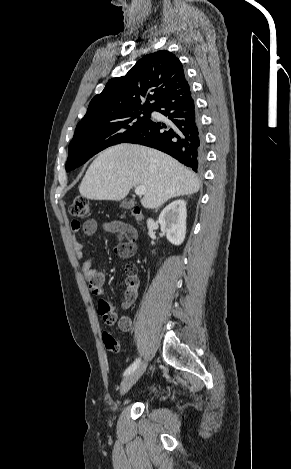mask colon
I'll use <instances>...</instances> for the list:
<instances>
[{
  "label": "colon",
  "instance_id": "5ec220e1",
  "mask_svg": "<svg viewBox=\"0 0 291 469\" xmlns=\"http://www.w3.org/2000/svg\"><path fill=\"white\" fill-rule=\"evenodd\" d=\"M71 214L81 220L87 219L91 214V205L89 200L84 196H77L70 207ZM135 216H140V211L138 208L133 211ZM135 246L132 243H123L117 248V252L121 256H126L133 254ZM125 273L127 276V290L128 295L124 300V306H129L134 300V294L138 291V280H137V267L133 263H128L125 265ZM99 301L97 302L98 311L100 317L106 321L107 324L112 325L116 322L117 316L112 310V307L109 305V301L106 299L104 294L99 296ZM103 343L105 348L110 352L119 351V343L110 333H103L102 335Z\"/></svg>",
  "mask_w": 291,
  "mask_h": 469
}]
</instances>
